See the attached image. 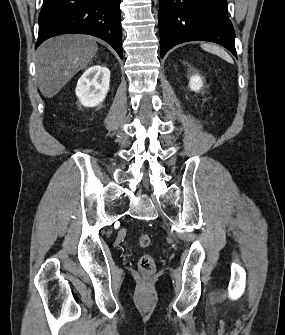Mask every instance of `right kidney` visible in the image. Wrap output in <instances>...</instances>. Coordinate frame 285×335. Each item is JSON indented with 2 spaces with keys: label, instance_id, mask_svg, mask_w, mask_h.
<instances>
[{
  "label": "right kidney",
  "instance_id": "1",
  "mask_svg": "<svg viewBox=\"0 0 285 335\" xmlns=\"http://www.w3.org/2000/svg\"><path fill=\"white\" fill-rule=\"evenodd\" d=\"M110 84V70L102 66H91L77 82L75 94L85 108H94L107 96Z\"/></svg>",
  "mask_w": 285,
  "mask_h": 335
}]
</instances>
